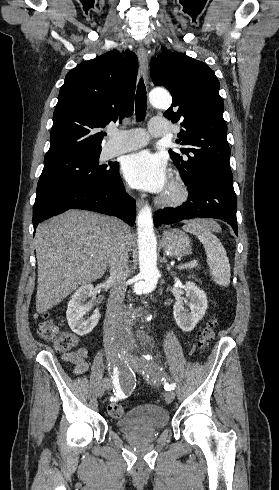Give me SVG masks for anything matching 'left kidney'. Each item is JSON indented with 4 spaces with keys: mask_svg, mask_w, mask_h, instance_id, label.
Segmentation results:
<instances>
[{
    "mask_svg": "<svg viewBox=\"0 0 279 490\" xmlns=\"http://www.w3.org/2000/svg\"><path fill=\"white\" fill-rule=\"evenodd\" d=\"M185 292L186 298H179V300L175 302L173 306V316L180 330H183V332H192L198 322L205 316L208 308V300L205 292L200 290V288H197L194 282H186ZM184 302H186L188 310H185Z\"/></svg>",
    "mask_w": 279,
    "mask_h": 490,
    "instance_id": "obj_1",
    "label": "left kidney"
}]
</instances>
